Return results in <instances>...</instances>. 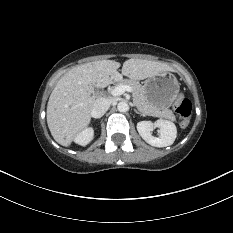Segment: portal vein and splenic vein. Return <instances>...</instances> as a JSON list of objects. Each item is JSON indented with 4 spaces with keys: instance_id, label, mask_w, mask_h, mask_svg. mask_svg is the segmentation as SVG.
<instances>
[{
    "instance_id": "18ae733b",
    "label": "portal vein and splenic vein",
    "mask_w": 233,
    "mask_h": 233,
    "mask_svg": "<svg viewBox=\"0 0 233 233\" xmlns=\"http://www.w3.org/2000/svg\"><path fill=\"white\" fill-rule=\"evenodd\" d=\"M125 92H132V88L130 86H117L111 90V94L113 96H120L124 94Z\"/></svg>"
}]
</instances>
